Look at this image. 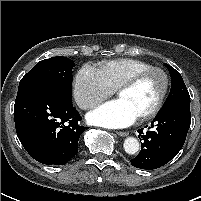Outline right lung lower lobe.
<instances>
[{
  "label": "right lung lower lobe",
  "instance_id": "obj_1",
  "mask_svg": "<svg viewBox=\"0 0 201 201\" xmlns=\"http://www.w3.org/2000/svg\"><path fill=\"white\" fill-rule=\"evenodd\" d=\"M72 97L47 82L19 86L14 106L17 136L25 150L42 164L64 165L78 153V140L87 129Z\"/></svg>",
  "mask_w": 201,
  "mask_h": 201
}]
</instances>
